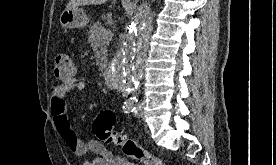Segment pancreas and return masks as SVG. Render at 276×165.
<instances>
[{
	"label": "pancreas",
	"mask_w": 276,
	"mask_h": 165,
	"mask_svg": "<svg viewBox=\"0 0 276 165\" xmlns=\"http://www.w3.org/2000/svg\"><path fill=\"white\" fill-rule=\"evenodd\" d=\"M103 26L100 22L92 23L88 33V42L95 52L96 65L99 71H103L107 65V52L109 45V38H102L100 36Z\"/></svg>",
	"instance_id": "1"
}]
</instances>
